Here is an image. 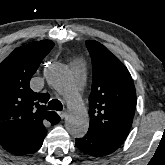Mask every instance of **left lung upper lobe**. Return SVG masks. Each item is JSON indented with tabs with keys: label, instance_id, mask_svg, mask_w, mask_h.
Returning <instances> with one entry per match:
<instances>
[{
	"label": "left lung upper lobe",
	"instance_id": "5c2ea615",
	"mask_svg": "<svg viewBox=\"0 0 165 165\" xmlns=\"http://www.w3.org/2000/svg\"><path fill=\"white\" fill-rule=\"evenodd\" d=\"M93 79L89 96V129L123 142L132 125L136 92L127 68L105 46L87 40Z\"/></svg>",
	"mask_w": 165,
	"mask_h": 165
}]
</instances>
